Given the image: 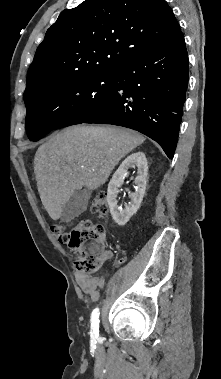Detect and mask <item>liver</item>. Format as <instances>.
<instances>
[{
  "label": "liver",
  "instance_id": "6515ba94",
  "mask_svg": "<svg viewBox=\"0 0 221 379\" xmlns=\"http://www.w3.org/2000/svg\"><path fill=\"white\" fill-rule=\"evenodd\" d=\"M145 141L133 130L113 126L66 128L42 144L34 158L38 192L53 220L74 191L103 185L114 167Z\"/></svg>",
  "mask_w": 221,
  "mask_h": 379
}]
</instances>
